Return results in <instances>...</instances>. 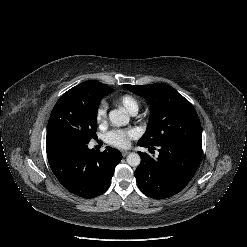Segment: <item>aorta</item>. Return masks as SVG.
I'll return each mask as SVG.
<instances>
[{
	"label": "aorta",
	"instance_id": "aorta-1",
	"mask_svg": "<svg viewBox=\"0 0 247 247\" xmlns=\"http://www.w3.org/2000/svg\"><path fill=\"white\" fill-rule=\"evenodd\" d=\"M109 119L115 126H124L129 123L130 117L124 109H115L110 111ZM126 160L130 166L137 167L140 164L141 158L137 153H130Z\"/></svg>",
	"mask_w": 247,
	"mask_h": 247
}]
</instances>
